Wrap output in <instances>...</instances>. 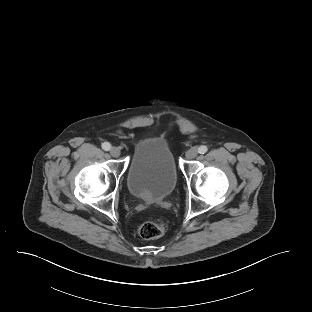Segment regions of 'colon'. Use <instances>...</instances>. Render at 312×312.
Instances as JSON below:
<instances>
[{"label":"colon","mask_w":312,"mask_h":312,"mask_svg":"<svg viewBox=\"0 0 312 312\" xmlns=\"http://www.w3.org/2000/svg\"><path fill=\"white\" fill-rule=\"evenodd\" d=\"M168 225L165 221H148L141 224L137 232L143 239H155L162 236L167 231Z\"/></svg>","instance_id":"obj_1"}]
</instances>
